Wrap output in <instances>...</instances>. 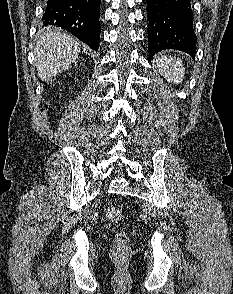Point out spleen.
Segmentation results:
<instances>
[{
    "instance_id": "spleen-1",
    "label": "spleen",
    "mask_w": 233,
    "mask_h": 294,
    "mask_svg": "<svg viewBox=\"0 0 233 294\" xmlns=\"http://www.w3.org/2000/svg\"><path fill=\"white\" fill-rule=\"evenodd\" d=\"M160 74L175 84L182 82L185 74L182 61L172 56H158L155 60Z\"/></svg>"
}]
</instances>
